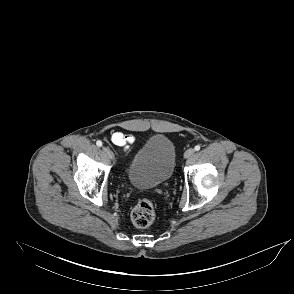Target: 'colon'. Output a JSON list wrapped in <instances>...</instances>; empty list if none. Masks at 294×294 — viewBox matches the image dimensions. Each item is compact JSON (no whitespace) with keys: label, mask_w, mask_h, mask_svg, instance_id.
Instances as JSON below:
<instances>
[{"label":"colon","mask_w":294,"mask_h":294,"mask_svg":"<svg viewBox=\"0 0 294 294\" xmlns=\"http://www.w3.org/2000/svg\"><path fill=\"white\" fill-rule=\"evenodd\" d=\"M155 210L149 199H141L131 211V220L136 227L145 228L153 223Z\"/></svg>","instance_id":"colon-1"}]
</instances>
